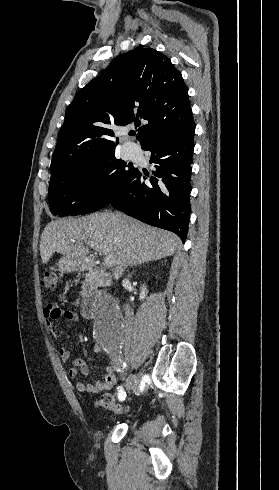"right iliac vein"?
Here are the masks:
<instances>
[{"mask_svg": "<svg viewBox=\"0 0 279 490\" xmlns=\"http://www.w3.org/2000/svg\"><path fill=\"white\" fill-rule=\"evenodd\" d=\"M134 383H135V377L134 376H129L126 380V387L127 389H133L134 388Z\"/></svg>", "mask_w": 279, "mask_h": 490, "instance_id": "63e3f726", "label": "right iliac vein"}]
</instances>
